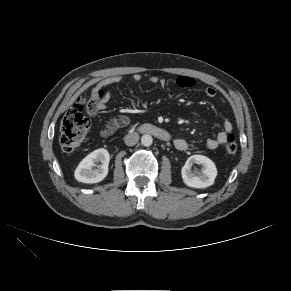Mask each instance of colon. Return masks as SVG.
Masks as SVG:
<instances>
[{
  "instance_id": "5ec220e1",
  "label": "colon",
  "mask_w": 291,
  "mask_h": 291,
  "mask_svg": "<svg viewBox=\"0 0 291 291\" xmlns=\"http://www.w3.org/2000/svg\"><path fill=\"white\" fill-rule=\"evenodd\" d=\"M91 102V99L90 101ZM89 104V103H88ZM86 103L79 100L65 114L60 127V146L65 152L76 150L86 137L90 127L89 118L85 115ZM126 118L117 117L112 125H123ZM225 151L228 155L234 156L237 152V144L232 135H228L225 143Z\"/></svg>"
}]
</instances>
